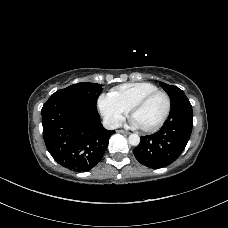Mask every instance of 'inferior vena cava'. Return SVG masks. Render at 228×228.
Instances as JSON below:
<instances>
[{"label": "inferior vena cava", "instance_id": "1", "mask_svg": "<svg viewBox=\"0 0 228 228\" xmlns=\"http://www.w3.org/2000/svg\"><path fill=\"white\" fill-rule=\"evenodd\" d=\"M102 123L107 130H114L120 126V124L112 118H104Z\"/></svg>", "mask_w": 228, "mask_h": 228}]
</instances>
